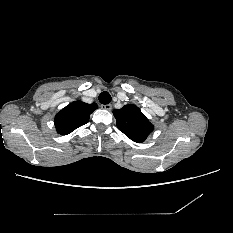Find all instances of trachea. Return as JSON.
I'll return each instance as SVG.
<instances>
[{
  "instance_id": "1",
  "label": "trachea",
  "mask_w": 233,
  "mask_h": 233,
  "mask_svg": "<svg viewBox=\"0 0 233 233\" xmlns=\"http://www.w3.org/2000/svg\"><path fill=\"white\" fill-rule=\"evenodd\" d=\"M99 102L101 104H109L111 102V95L109 92L107 91H103L100 95H99Z\"/></svg>"
}]
</instances>
